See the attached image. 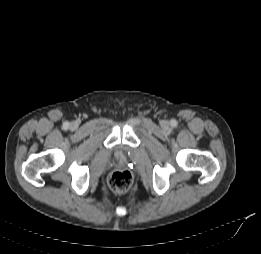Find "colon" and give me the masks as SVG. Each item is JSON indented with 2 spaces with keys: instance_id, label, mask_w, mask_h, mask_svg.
<instances>
[{
  "instance_id": "5ec220e1",
  "label": "colon",
  "mask_w": 261,
  "mask_h": 254,
  "mask_svg": "<svg viewBox=\"0 0 261 254\" xmlns=\"http://www.w3.org/2000/svg\"><path fill=\"white\" fill-rule=\"evenodd\" d=\"M132 175L128 170H118L109 177V186L116 193L126 192L132 185Z\"/></svg>"
}]
</instances>
